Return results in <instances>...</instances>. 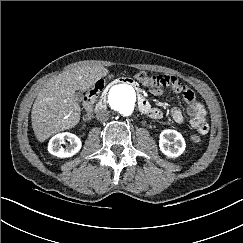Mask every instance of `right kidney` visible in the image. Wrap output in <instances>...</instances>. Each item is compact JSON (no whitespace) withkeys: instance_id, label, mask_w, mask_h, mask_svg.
<instances>
[{"instance_id":"right-kidney-1","label":"right kidney","mask_w":243,"mask_h":243,"mask_svg":"<svg viewBox=\"0 0 243 243\" xmlns=\"http://www.w3.org/2000/svg\"><path fill=\"white\" fill-rule=\"evenodd\" d=\"M65 140L69 141L70 145L63 148L61 144L64 143ZM81 147L82 142L80 138L69 132H63L53 136L48 143L49 153L60 158H67L75 155L80 151Z\"/></svg>"}]
</instances>
